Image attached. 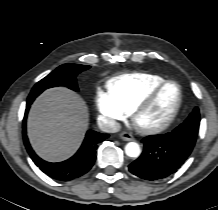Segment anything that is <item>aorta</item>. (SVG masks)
<instances>
[{"label":"aorta","mask_w":218,"mask_h":210,"mask_svg":"<svg viewBox=\"0 0 218 210\" xmlns=\"http://www.w3.org/2000/svg\"><path fill=\"white\" fill-rule=\"evenodd\" d=\"M125 153L131 158H137L141 153L139 144L136 142L127 143L125 146Z\"/></svg>","instance_id":"1"}]
</instances>
